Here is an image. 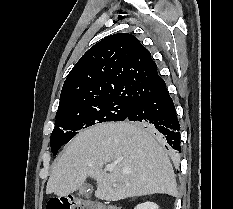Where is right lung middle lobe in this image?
<instances>
[{
	"mask_svg": "<svg viewBox=\"0 0 233 209\" xmlns=\"http://www.w3.org/2000/svg\"><path fill=\"white\" fill-rule=\"evenodd\" d=\"M135 105L131 101L108 98L56 115V123L50 139L53 155L56 156L59 148L69 142L78 130L107 121H124ZM138 125L152 131V128L144 123Z\"/></svg>",
	"mask_w": 233,
	"mask_h": 209,
	"instance_id": "obj_1",
	"label": "right lung middle lobe"
}]
</instances>
